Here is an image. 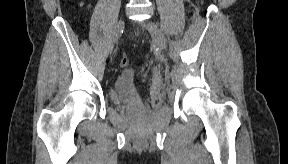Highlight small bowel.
Segmentation results:
<instances>
[{
  "mask_svg": "<svg viewBox=\"0 0 288 164\" xmlns=\"http://www.w3.org/2000/svg\"><path fill=\"white\" fill-rule=\"evenodd\" d=\"M91 8V5H88V9H90Z\"/></svg>",
  "mask_w": 288,
  "mask_h": 164,
  "instance_id": "obj_1",
  "label": "small bowel"
}]
</instances>
